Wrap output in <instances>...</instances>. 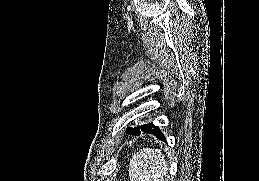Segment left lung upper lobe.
Masks as SVG:
<instances>
[{
    "instance_id": "5c2ea615",
    "label": "left lung upper lobe",
    "mask_w": 259,
    "mask_h": 181,
    "mask_svg": "<svg viewBox=\"0 0 259 181\" xmlns=\"http://www.w3.org/2000/svg\"><path fill=\"white\" fill-rule=\"evenodd\" d=\"M150 125H151V123L141 125V126H140L141 130L139 129V127H138V128H128V129H127V132H129L130 134L136 135V134H139V133H141L142 131L146 130Z\"/></svg>"
}]
</instances>
